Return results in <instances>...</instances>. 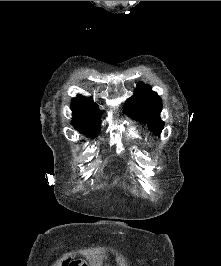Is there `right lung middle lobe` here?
<instances>
[{
	"instance_id": "right-lung-middle-lobe-1",
	"label": "right lung middle lobe",
	"mask_w": 221,
	"mask_h": 266,
	"mask_svg": "<svg viewBox=\"0 0 221 266\" xmlns=\"http://www.w3.org/2000/svg\"><path fill=\"white\" fill-rule=\"evenodd\" d=\"M74 128L79 130L80 133H83L89 137L95 136L97 133H99V124L100 119L97 118H83L79 116H74L73 120Z\"/></svg>"
}]
</instances>
